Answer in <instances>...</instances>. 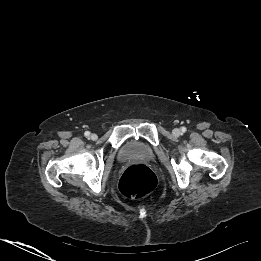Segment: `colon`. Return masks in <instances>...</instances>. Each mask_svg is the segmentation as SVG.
Returning a JSON list of instances; mask_svg holds the SVG:
<instances>
[{
	"instance_id": "1",
	"label": "colon",
	"mask_w": 261,
	"mask_h": 261,
	"mask_svg": "<svg viewBox=\"0 0 261 261\" xmlns=\"http://www.w3.org/2000/svg\"><path fill=\"white\" fill-rule=\"evenodd\" d=\"M157 186L153 171L142 164L128 167L119 180L121 193L128 198H142L151 194Z\"/></svg>"
}]
</instances>
